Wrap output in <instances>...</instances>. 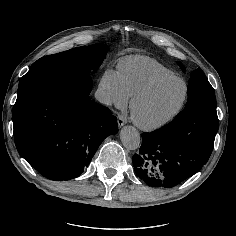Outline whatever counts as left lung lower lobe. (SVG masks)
Instances as JSON below:
<instances>
[{
    "label": "left lung lower lobe",
    "instance_id": "1",
    "mask_svg": "<svg viewBox=\"0 0 236 236\" xmlns=\"http://www.w3.org/2000/svg\"><path fill=\"white\" fill-rule=\"evenodd\" d=\"M218 126L216 107L192 105L162 129L144 132L132 159L137 176L165 188L191 177L207 163Z\"/></svg>",
    "mask_w": 236,
    "mask_h": 236
}]
</instances>
